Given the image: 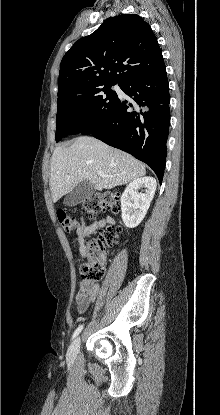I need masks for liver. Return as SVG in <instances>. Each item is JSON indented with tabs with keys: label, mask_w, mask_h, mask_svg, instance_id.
Returning <instances> with one entry per match:
<instances>
[{
	"label": "liver",
	"mask_w": 220,
	"mask_h": 415,
	"mask_svg": "<svg viewBox=\"0 0 220 415\" xmlns=\"http://www.w3.org/2000/svg\"><path fill=\"white\" fill-rule=\"evenodd\" d=\"M98 171L105 176H99ZM145 174V165L131 155L93 137H79L70 146L54 149L50 174L52 199L57 202L84 180L102 191L127 184Z\"/></svg>",
	"instance_id": "liver-1"
}]
</instances>
